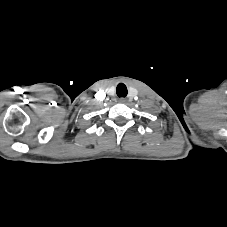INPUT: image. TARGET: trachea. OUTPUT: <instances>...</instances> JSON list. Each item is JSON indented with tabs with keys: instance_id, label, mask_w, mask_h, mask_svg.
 Segmentation results:
<instances>
[{
	"instance_id": "3493384b",
	"label": "trachea",
	"mask_w": 227,
	"mask_h": 227,
	"mask_svg": "<svg viewBox=\"0 0 227 227\" xmlns=\"http://www.w3.org/2000/svg\"><path fill=\"white\" fill-rule=\"evenodd\" d=\"M116 92H117L118 97H126L127 88H126V86L124 84H119L117 86Z\"/></svg>"
}]
</instances>
